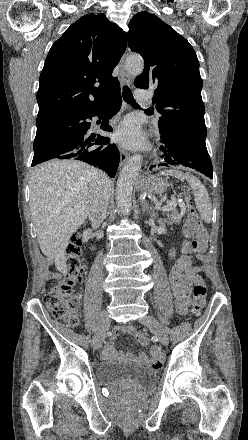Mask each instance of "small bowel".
<instances>
[{
	"label": "small bowel",
	"mask_w": 248,
	"mask_h": 440,
	"mask_svg": "<svg viewBox=\"0 0 248 440\" xmlns=\"http://www.w3.org/2000/svg\"><path fill=\"white\" fill-rule=\"evenodd\" d=\"M196 227L190 221H187L183 228V233L186 238H191L195 233ZM188 247L186 244L182 245V254L176 260L171 268L169 280L173 295L175 297L176 310L180 315H186L190 305V289L192 283V272H199V268H191V261L188 256ZM121 332L130 334L135 333L133 326H118L115 328L110 340L106 343L103 355L107 359H114L119 357L114 349V341ZM155 357L148 358L144 353H139L137 359L143 363H150L154 368L160 365V358L157 355V349H153Z\"/></svg>",
	"instance_id": "1"
}]
</instances>
